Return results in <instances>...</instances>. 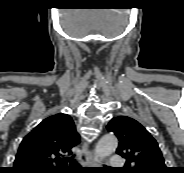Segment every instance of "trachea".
Instances as JSON below:
<instances>
[{
    "mask_svg": "<svg viewBox=\"0 0 184 173\" xmlns=\"http://www.w3.org/2000/svg\"><path fill=\"white\" fill-rule=\"evenodd\" d=\"M70 166L71 168H79L80 165L73 159L70 160Z\"/></svg>",
    "mask_w": 184,
    "mask_h": 173,
    "instance_id": "trachea-1",
    "label": "trachea"
}]
</instances>
